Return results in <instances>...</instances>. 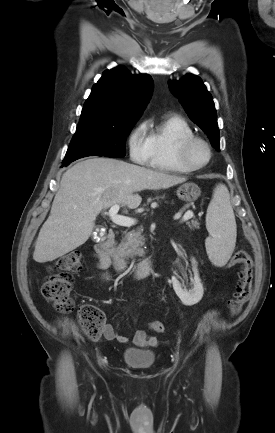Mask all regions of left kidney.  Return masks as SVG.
Wrapping results in <instances>:
<instances>
[{
    "instance_id": "obj_1",
    "label": "left kidney",
    "mask_w": 275,
    "mask_h": 433,
    "mask_svg": "<svg viewBox=\"0 0 275 433\" xmlns=\"http://www.w3.org/2000/svg\"><path fill=\"white\" fill-rule=\"evenodd\" d=\"M192 265L194 272V286L191 290L183 289L181 284L175 277H172L171 280L175 293L183 302V304L188 306L198 303L202 299L204 293L203 285L198 274L197 262L195 261V259H192Z\"/></svg>"
}]
</instances>
